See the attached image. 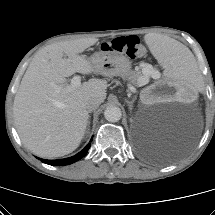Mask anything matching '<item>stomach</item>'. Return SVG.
I'll return each mask as SVG.
<instances>
[{"instance_id":"1","label":"stomach","mask_w":215,"mask_h":215,"mask_svg":"<svg viewBox=\"0 0 215 215\" xmlns=\"http://www.w3.org/2000/svg\"><path fill=\"white\" fill-rule=\"evenodd\" d=\"M89 60L95 71L103 76H120L123 79H132L131 62L122 54H112L101 50L91 55Z\"/></svg>"}]
</instances>
